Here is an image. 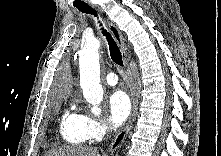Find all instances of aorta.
I'll list each match as a JSON object with an SVG mask.
<instances>
[{
  "mask_svg": "<svg viewBox=\"0 0 221 156\" xmlns=\"http://www.w3.org/2000/svg\"><path fill=\"white\" fill-rule=\"evenodd\" d=\"M100 40L92 38L86 41L80 51V86L84 98L92 105L91 111L100 115L98 105L103 100V88L100 84L99 50Z\"/></svg>",
  "mask_w": 221,
  "mask_h": 156,
  "instance_id": "762f6f07",
  "label": "aorta"
}]
</instances>
